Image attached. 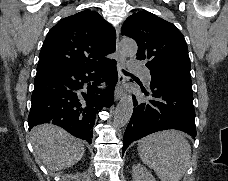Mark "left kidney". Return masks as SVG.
Here are the masks:
<instances>
[{
    "label": "left kidney",
    "mask_w": 228,
    "mask_h": 181,
    "mask_svg": "<svg viewBox=\"0 0 228 181\" xmlns=\"http://www.w3.org/2000/svg\"><path fill=\"white\" fill-rule=\"evenodd\" d=\"M132 181H155V179L144 165L137 163L132 167Z\"/></svg>",
    "instance_id": "obj_1"
}]
</instances>
